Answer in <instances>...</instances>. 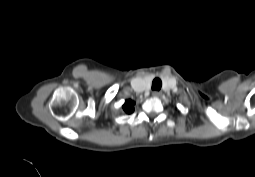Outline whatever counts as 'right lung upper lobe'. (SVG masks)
Listing matches in <instances>:
<instances>
[{"mask_svg":"<svg viewBox=\"0 0 255 177\" xmlns=\"http://www.w3.org/2000/svg\"><path fill=\"white\" fill-rule=\"evenodd\" d=\"M134 104H135V102H133L132 100H126L122 106L123 111L126 114H131L134 111V107H133Z\"/></svg>","mask_w":255,"mask_h":177,"instance_id":"right-lung-upper-lobe-1","label":"right lung upper lobe"}]
</instances>
